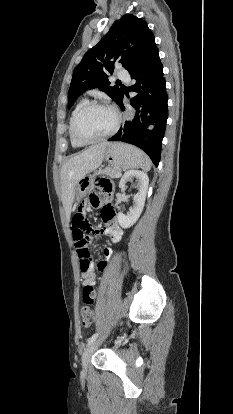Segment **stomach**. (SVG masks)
Returning <instances> with one entry per match:
<instances>
[{"instance_id":"0dacf381","label":"stomach","mask_w":233,"mask_h":414,"mask_svg":"<svg viewBox=\"0 0 233 414\" xmlns=\"http://www.w3.org/2000/svg\"><path fill=\"white\" fill-rule=\"evenodd\" d=\"M145 154L134 146L124 143H111L105 151L104 159L110 167L118 168H138L144 162ZM91 178L88 174H83V178L79 180V185L75 188L77 200L87 194L88 183Z\"/></svg>"}]
</instances>
